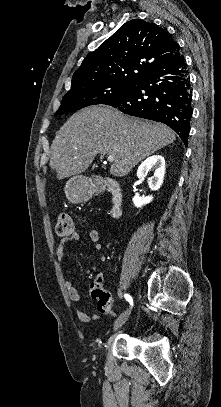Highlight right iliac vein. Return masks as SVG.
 <instances>
[{"mask_svg": "<svg viewBox=\"0 0 221 407\" xmlns=\"http://www.w3.org/2000/svg\"><path fill=\"white\" fill-rule=\"evenodd\" d=\"M130 310L127 309L123 316L115 323L113 331H117L127 320Z\"/></svg>", "mask_w": 221, "mask_h": 407, "instance_id": "right-iliac-vein-1", "label": "right iliac vein"}]
</instances>
